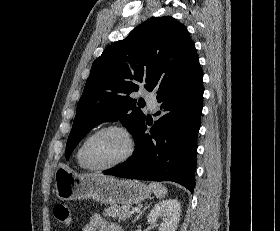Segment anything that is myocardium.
Returning <instances> with one entry per match:
<instances>
[{"label": "myocardium", "mask_w": 280, "mask_h": 231, "mask_svg": "<svg viewBox=\"0 0 280 231\" xmlns=\"http://www.w3.org/2000/svg\"><path fill=\"white\" fill-rule=\"evenodd\" d=\"M107 131L119 132L125 138L126 149H125L123 155L120 158H118L117 160H115L107 165H104V166H95V165L91 164L86 157L87 146L93 138H95L97 135L107 132ZM133 151H134V142H133V139H132L129 131L121 125L109 124V125H106V126H103L99 129H97L96 131L92 132L85 138V140L83 141L82 146L80 148L79 159H80L82 165L84 167H86L88 170L103 171V170H107L109 168L116 167L118 165L123 164L132 156Z\"/></svg>", "instance_id": "obj_1"}]
</instances>
